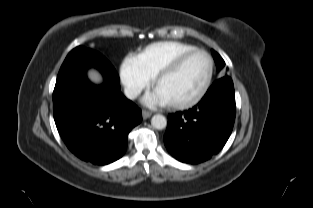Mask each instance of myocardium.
<instances>
[{
  "label": "myocardium",
  "instance_id": "obj_1",
  "mask_svg": "<svg viewBox=\"0 0 313 208\" xmlns=\"http://www.w3.org/2000/svg\"><path fill=\"white\" fill-rule=\"evenodd\" d=\"M201 53L203 55H205V57L208 60L209 63V70H208V74L206 77V80L202 86V88L200 89V91L191 99L186 100V101H181V102H172L169 103V105L172 108L175 109H187L190 107H193L194 105L198 104L207 94L212 80H213V75H214V61L213 58L211 57V55L200 48H196L187 52H184L182 54H180L177 58H175L168 66H166L164 69H162L156 76L154 79V88L156 89L158 87V85L168 76L174 74L175 72H177L179 70V68L182 66V64L192 55L194 54H198Z\"/></svg>",
  "mask_w": 313,
  "mask_h": 208
}]
</instances>
